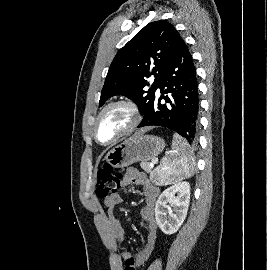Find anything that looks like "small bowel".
Returning <instances> with one entry per match:
<instances>
[{
	"label": "small bowel",
	"instance_id": "c3829d8e",
	"mask_svg": "<svg viewBox=\"0 0 267 270\" xmlns=\"http://www.w3.org/2000/svg\"><path fill=\"white\" fill-rule=\"evenodd\" d=\"M123 185H135L142 189L145 199V206L141 211V216L146 223V239L142 247L135 257V263L142 265L151 255L157 240L158 226L155 218V206L159 190L147 178V176L135 168H129L124 177ZM123 202V198L119 194H114L104 200V206L108 211V223L112 238L117 242H122L125 239L126 232L121 221L115 214V208ZM131 256L128 251H124L118 258V264L121 261Z\"/></svg>",
	"mask_w": 267,
	"mask_h": 270
}]
</instances>
